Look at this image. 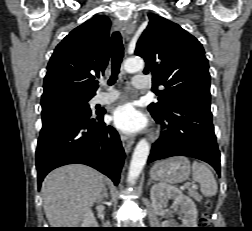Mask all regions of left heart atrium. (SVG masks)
Segmentation results:
<instances>
[{
    "label": "left heart atrium",
    "instance_id": "left-heart-atrium-1",
    "mask_svg": "<svg viewBox=\"0 0 252 231\" xmlns=\"http://www.w3.org/2000/svg\"><path fill=\"white\" fill-rule=\"evenodd\" d=\"M114 126L125 133H136L145 128L147 120L144 114L132 104L117 107L111 117Z\"/></svg>",
    "mask_w": 252,
    "mask_h": 231
}]
</instances>
